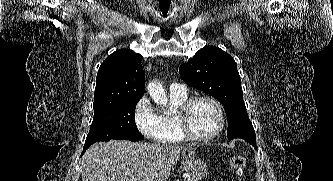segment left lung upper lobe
<instances>
[{
  "mask_svg": "<svg viewBox=\"0 0 333 181\" xmlns=\"http://www.w3.org/2000/svg\"><path fill=\"white\" fill-rule=\"evenodd\" d=\"M179 73L188 85L212 95L224 105L228 118V139L246 135L256 140L243 101L237 66L228 53L217 47L206 46L182 64Z\"/></svg>",
  "mask_w": 333,
  "mask_h": 181,
  "instance_id": "1",
  "label": "left lung upper lobe"
}]
</instances>
